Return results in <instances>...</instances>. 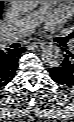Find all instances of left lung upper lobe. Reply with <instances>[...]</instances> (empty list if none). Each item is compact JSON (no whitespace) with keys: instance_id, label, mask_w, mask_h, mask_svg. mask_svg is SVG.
Listing matches in <instances>:
<instances>
[{"instance_id":"obj_1","label":"left lung upper lobe","mask_w":74,"mask_h":122,"mask_svg":"<svg viewBox=\"0 0 74 122\" xmlns=\"http://www.w3.org/2000/svg\"><path fill=\"white\" fill-rule=\"evenodd\" d=\"M71 37H73V38H74V32L71 34Z\"/></svg>"}]
</instances>
